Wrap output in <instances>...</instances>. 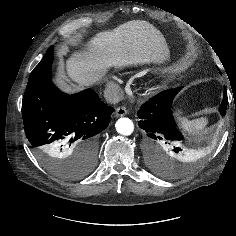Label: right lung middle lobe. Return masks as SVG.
<instances>
[{"label": "right lung middle lobe", "mask_w": 236, "mask_h": 236, "mask_svg": "<svg viewBox=\"0 0 236 236\" xmlns=\"http://www.w3.org/2000/svg\"><path fill=\"white\" fill-rule=\"evenodd\" d=\"M38 156L42 164L52 173L64 178H78L87 174L94 164L84 161L65 162L50 157L43 151H38Z\"/></svg>", "instance_id": "obj_1"}]
</instances>
